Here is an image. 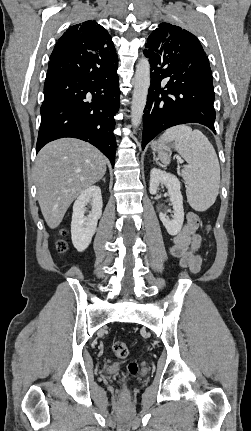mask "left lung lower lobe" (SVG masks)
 I'll list each match as a JSON object with an SVG mask.
<instances>
[{
    "mask_svg": "<svg viewBox=\"0 0 251 431\" xmlns=\"http://www.w3.org/2000/svg\"><path fill=\"white\" fill-rule=\"evenodd\" d=\"M144 55L151 66V86L142 149L160 132L179 124L199 123L216 133L212 72L203 49L194 43L172 44L149 37Z\"/></svg>",
    "mask_w": 251,
    "mask_h": 431,
    "instance_id": "0a47b994",
    "label": "left lung lower lobe"
}]
</instances>
